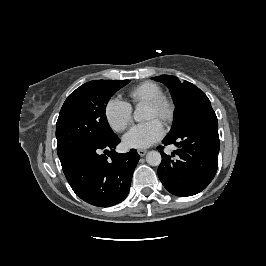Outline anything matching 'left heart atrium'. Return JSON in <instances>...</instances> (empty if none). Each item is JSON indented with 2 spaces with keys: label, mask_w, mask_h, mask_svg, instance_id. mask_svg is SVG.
Masks as SVG:
<instances>
[{
  "label": "left heart atrium",
  "mask_w": 266,
  "mask_h": 266,
  "mask_svg": "<svg viewBox=\"0 0 266 266\" xmlns=\"http://www.w3.org/2000/svg\"><path fill=\"white\" fill-rule=\"evenodd\" d=\"M163 135L161 122L154 118L134 125L123 137V144L127 148H147L160 140Z\"/></svg>",
  "instance_id": "left-heart-atrium-1"
}]
</instances>
